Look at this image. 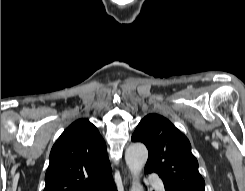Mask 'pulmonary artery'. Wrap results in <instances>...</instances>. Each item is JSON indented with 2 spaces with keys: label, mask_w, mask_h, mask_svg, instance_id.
<instances>
[{
  "label": "pulmonary artery",
  "mask_w": 245,
  "mask_h": 191,
  "mask_svg": "<svg viewBox=\"0 0 245 191\" xmlns=\"http://www.w3.org/2000/svg\"><path fill=\"white\" fill-rule=\"evenodd\" d=\"M149 182L158 191H165V185H164L163 181L161 179H159L156 175H150Z\"/></svg>",
  "instance_id": "obj_1"
}]
</instances>
